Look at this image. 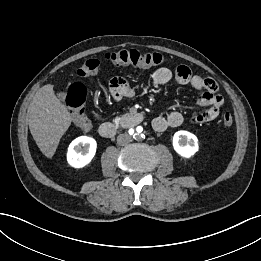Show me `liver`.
Listing matches in <instances>:
<instances>
[{"mask_svg": "<svg viewBox=\"0 0 261 261\" xmlns=\"http://www.w3.org/2000/svg\"><path fill=\"white\" fill-rule=\"evenodd\" d=\"M53 85L41 87L28 107L29 129L40 151L51 158L63 134L71 125L65 105L56 97Z\"/></svg>", "mask_w": 261, "mask_h": 261, "instance_id": "1", "label": "liver"}]
</instances>
